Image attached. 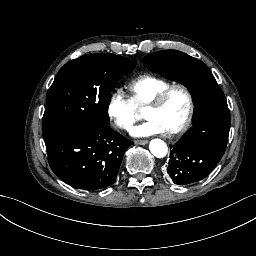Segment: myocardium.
Segmentation results:
<instances>
[{
  "label": "myocardium",
  "instance_id": "obj_1",
  "mask_svg": "<svg viewBox=\"0 0 256 256\" xmlns=\"http://www.w3.org/2000/svg\"><path fill=\"white\" fill-rule=\"evenodd\" d=\"M174 89L179 90L185 96L186 101H187V110H186L185 115L170 129L171 133H177V132L183 130L188 125V123L193 115L192 97H191L190 93L188 92V90L184 87V85H182L181 83H178L174 87H172L170 90L164 91L158 97V99L145 110V116L149 117L150 116L149 111L161 108L164 105V103L166 102V100L168 99L170 93Z\"/></svg>",
  "mask_w": 256,
  "mask_h": 256
}]
</instances>
